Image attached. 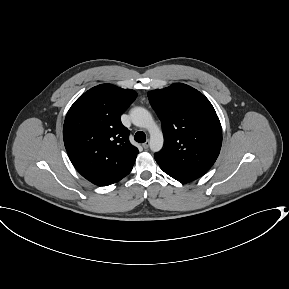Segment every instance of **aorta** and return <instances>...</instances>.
Wrapping results in <instances>:
<instances>
[{"mask_svg": "<svg viewBox=\"0 0 289 289\" xmlns=\"http://www.w3.org/2000/svg\"><path fill=\"white\" fill-rule=\"evenodd\" d=\"M131 121L135 126L145 128L150 134V149L153 152L161 150L164 137L161 129L154 122L150 112L142 107H134L130 111Z\"/></svg>", "mask_w": 289, "mask_h": 289, "instance_id": "762f6f07", "label": "aorta"}]
</instances>
